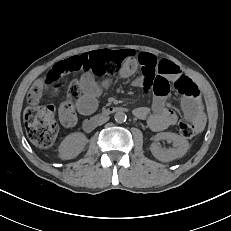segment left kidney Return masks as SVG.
<instances>
[{
	"mask_svg": "<svg viewBox=\"0 0 231 231\" xmlns=\"http://www.w3.org/2000/svg\"><path fill=\"white\" fill-rule=\"evenodd\" d=\"M156 140L165 139L173 141L174 148L162 149L157 142L152 143L150 150L155 158L162 162H169L183 157L189 149L188 141L175 133L162 132L155 136Z\"/></svg>",
	"mask_w": 231,
	"mask_h": 231,
	"instance_id": "5707ae66",
	"label": "left kidney"
}]
</instances>
